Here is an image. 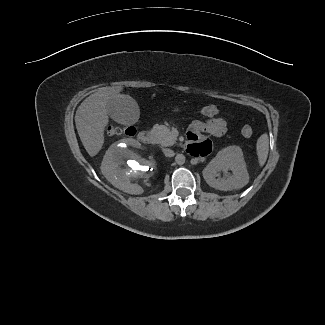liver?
Here are the masks:
<instances>
[{
  "mask_svg": "<svg viewBox=\"0 0 325 325\" xmlns=\"http://www.w3.org/2000/svg\"><path fill=\"white\" fill-rule=\"evenodd\" d=\"M121 91V87L99 88L88 96L76 111V129L85 150L91 157L96 156L104 144L105 128L109 123L108 103L120 96L130 97L120 94Z\"/></svg>",
  "mask_w": 325,
  "mask_h": 325,
  "instance_id": "1",
  "label": "liver"
}]
</instances>
